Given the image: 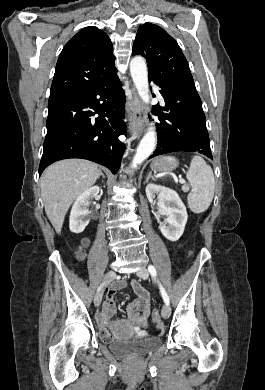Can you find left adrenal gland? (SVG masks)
I'll return each mask as SVG.
<instances>
[{
    "label": "left adrenal gland",
    "mask_w": 265,
    "mask_h": 390,
    "mask_svg": "<svg viewBox=\"0 0 265 390\" xmlns=\"http://www.w3.org/2000/svg\"><path fill=\"white\" fill-rule=\"evenodd\" d=\"M150 178H152L153 180H155V177L152 175V172H151V171H149L148 176H147L145 182L147 183V182L149 181Z\"/></svg>",
    "instance_id": "1"
}]
</instances>
